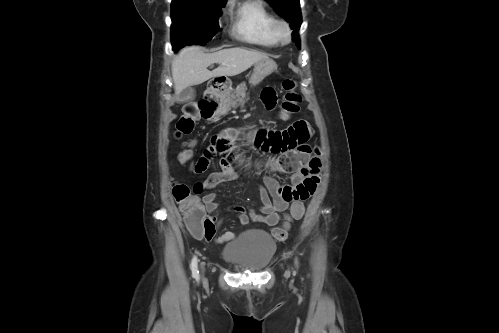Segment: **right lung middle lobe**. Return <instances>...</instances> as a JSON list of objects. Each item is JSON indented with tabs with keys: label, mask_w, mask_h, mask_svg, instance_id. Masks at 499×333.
I'll use <instances>...</instances> for the list:
<instances>
[{
	"label": "right lung middle lobe",
	"mask_w": 499,
	"mask_h": 333,
	"mask_svg": "<svg viewBox=\"0 0 499 333\" xmlns=\"http://www.w3.org/2000/svg\"><path fill=\"white\" fill-rule=\"evenodd\" d=\"M226 0H172L173 50L185 45H205L219 30L218 18Z\"/></svg>",
	"instance_id": "obj_1"
}]
</instances>
